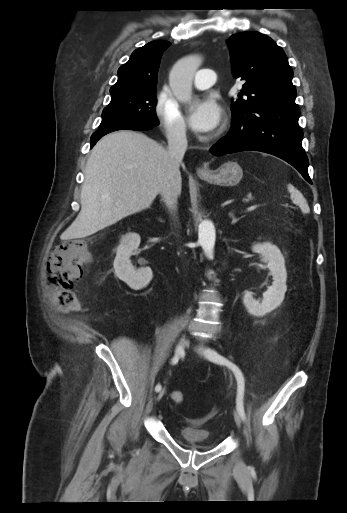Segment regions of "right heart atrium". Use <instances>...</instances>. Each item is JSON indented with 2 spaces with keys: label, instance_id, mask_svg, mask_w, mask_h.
<instances>
[{
  "label": "right heart atrium",
  "instance_id": "d8ad5b80",
  "mask_svg": "<svg viewBox=\"0 0 347 513\" xmlns=\"http://www.w3.org/2000/svg\"><path fill=\"white\" fill-rule=\"evenodd\" d=\"M154 113L166 137L173 142H182L187 137V125L179 106L167 86L157 93Z\"/></svg>",
  "mask_w": 347,
  "mask_h": 513
}]
</instances>
